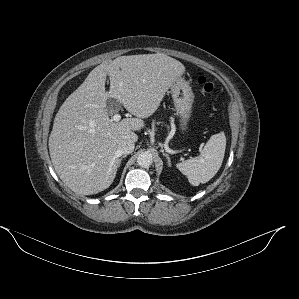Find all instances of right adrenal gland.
Instances as JSON below:
<instances>
[{
	"label": "right adrenal gland",
	"instance_id": "right-adrenal-gland-1",
	"mask_svg": "<svg viewBox=\"0 0 299 299\" xmlns=\"http://www.w3.org/2000/svg\"><path fill=\"white\" fill-rule=\"evenodd\" d=\"M125 157H126V155H123V156L120 158V161H122V159L125 158ZM119 166H120V165H119Z\"/></svg>",
	"mask_w": 299,
	"mask_h": 299
}]
</instances>
